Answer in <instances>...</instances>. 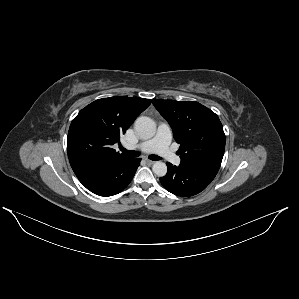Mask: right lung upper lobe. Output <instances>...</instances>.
<instances>
[{"label":"right lung upper lobe","instance_id":"1","mask_svg":"<svg viewBox=\"0 0 299 299\" xmlns=\"http://www.w3.org/2000/svg\"><path fill=\"white\" fill-rule=\"evenodd\" d=\"M150 103V99L119 96L98 99L83 108L73 119L67 137L73 171L128 158L112 145L120 143L121 135Z\"/></svg>","mask_w":299,"mask_h":299}]
</instances>
